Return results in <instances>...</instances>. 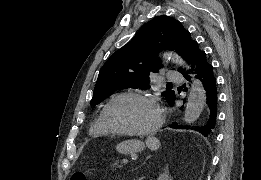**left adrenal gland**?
I'll use <instances>...</instances> for the list:
<instances>
[{
	"mask_svg": "<svg viewBox=\"0 0 261 180\" xmlns=\"http://www.w3.org/2000/svg\"><path fill=\"white\" fill-rule=\"evenodd\" d=\"M149 158H150V156H148V158H146V160H149ZM144 164H145V162H144Z\"/></svg>",
	"mask_w": 261,
	"mask_h": 180,
	"instance_id": "obj_1",
	"label": "left adrenal gland"
}]
</instances>
